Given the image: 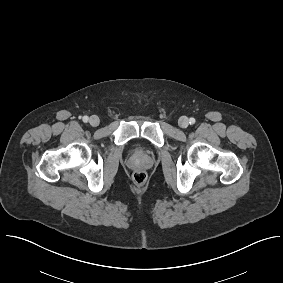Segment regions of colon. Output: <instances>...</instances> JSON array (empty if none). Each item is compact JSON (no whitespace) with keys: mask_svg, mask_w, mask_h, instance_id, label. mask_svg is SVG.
<instances>
[{"mask_svg":"<svg viewBox=\"0 0 283 283\" xmlns=\"http://www.w3.org/2000/svg\"><path fill=\"white\" fill-rule=\"evenodd\" d=\"M132 179H133V182L136 185L141 186V185H143L146 182L147 175L143 171H136V172H134V174L132 176Z\"/></svg>","mask_w":283,"mask_h":283,"instance_id":"obj_1","label":"colon"}]
</instances>
